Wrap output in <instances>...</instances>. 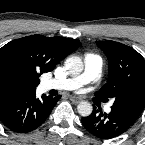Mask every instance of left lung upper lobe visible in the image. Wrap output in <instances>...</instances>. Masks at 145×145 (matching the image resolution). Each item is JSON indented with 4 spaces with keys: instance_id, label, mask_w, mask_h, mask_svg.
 I'll return each mask as SVG.
<instances>
[{
    "instance_id": "obj_1",
    "label": "left lung upper lobe",
    "mask_w": 145,
    "mask_h": 145,
    "mask_svg": "<svg viewBox=\"0 0 145 145\" xmlns=\"http://www.w3.org/2000/svg\"><path fill=\"white\" fill-rule=\"evenodd\" d=\"M109 62L108 82L98 95L114 99L111 110L134 124L145 107V61L133 48L114 41H96Z\"/></svg>"
}]
</instances>
